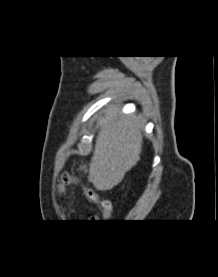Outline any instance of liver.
Masks as SVG:
<instances>
[{
	"label": "liver",
	"mask_w": 218,
	"mask_h": 277,
	"mask_svg": "<svg viewBox=\"0 0 218 277\" xmlns=\"http://www.w3.org/2000/svg\"><path fill=\"white\" fill-rule=\"evenodd\" d=\"M119 108L108 109L96 137L88 172V180L97 190H111L140 159L142 133L140 123L131 116L119 115Z\"/></svg>",
	"instance_id": "liver-1"
}]
</instances>
